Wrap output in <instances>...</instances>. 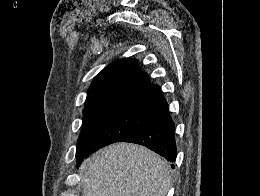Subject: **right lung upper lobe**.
Returning a JSON list of instances; mask_svg holds the SVG:
<instances>
[{
  "label": "right lung upper lobe",
  "instance_id": "obj_1",
  "mask_svg": "<svg viewBox=\"0 0 260 196\" xmlns=\"http://www.w3.org/2000/svg\"><path fill=\"white\" fill-rule=\"evenodd\" d=\"M162 97L160 87L151 85L136 59L117 61L93 80L85 106L129 103L145 107Z\"/></svg>",
  "mask_w": 260,
  "mask_h": 196
}]
</instances>
